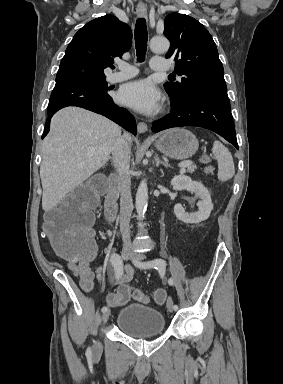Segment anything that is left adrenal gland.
<instances>
[{
	"mask_svg": "<svg viewBox=\"0 0 283 384\" xmlns=\"http://www.w3.org/2000/svg\"><path fill=\"white\" fill-rule=\"evenodd\" d=\"M155 162H156L157 168L158 166H160V164H162V166H165V168H168V164H166V162H161V160H159L158 154H155Z\"/></svg>",
	"mask_w": 283,
	"mask_h": 384,
	"instance_id": "1",
	"label": "left adrenal gland"
}]
</instances>
